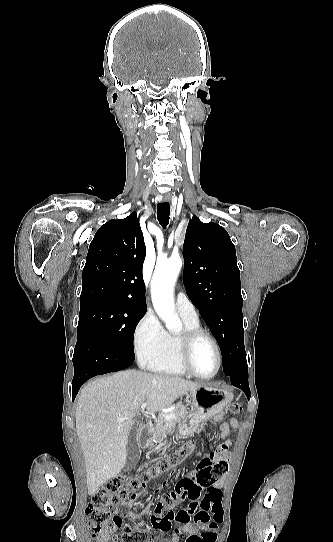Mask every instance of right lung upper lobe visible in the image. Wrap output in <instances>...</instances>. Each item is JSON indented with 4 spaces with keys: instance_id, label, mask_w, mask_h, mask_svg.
<instances>
[{
    "instance_id": "obj_1",
    "label": "right lung upper lobe",
    "mask_w": 333,
    "mask_h": 542,
    "mask_svg": "<svg viewBox=\"0 0 333 542\" xmlns=\"http://www.w3.org/2000/svg\"><path fill=\"white\" fill-rule=\"evenodd\" d=\"M145 255L136 212L102 225L89 246L80 305L103 301L147 309L142 276Z\"/></svg>"
}]
</instances>
